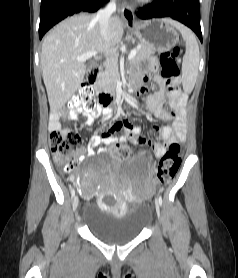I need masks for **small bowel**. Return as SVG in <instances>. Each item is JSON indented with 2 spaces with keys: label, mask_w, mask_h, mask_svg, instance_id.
Instances as JSON below:
<instances>
[{
  "label": "small bowel",
  "mask_w": 238,
  "mask_h": 278,
  "mask_svg": "<svg viewBox=\"0 0 238 278\" xmlns=\"http://www.w3.org/2000/svg\"><path fill=\"white\" fill-rule=\"evenodd\" d=\"M152 70H156L157 62L155 59L151 60ZM147 82L149 75H137L132 79L133 84H137L139 81ZM157 83L160 85V89L150 95L146 101V107L149 112L155 115L157 118L164 121H172L173 125L159 128L156 125L152 126V131L158 134L157 138H145L142 136V128L131 124L128 120L123 119L113 123L106 131L100 135L92 136L85 149L80 152V158L86 156H92L96 153H104V149L101 148L97 151L100 145H110L120 142H131L135 145H149L152 147L156 156H161L165 153V149L161 148L162 144L169 142H182L186 134V119H185V104L186 97L180 91L177 82H164L160 77H156ZM167 86V92L164 91L163 86ZM143 91L145 88L142 89ZM168 100L170 110L163 107L164 102ZM80 110H71L68 114L70 120H76ZM83 115L86 117L85 126H93L98 118L101 122L109 120L112 116V111L108 106L99 104L94 112L84 111ZM61 114L53 113L49 121V129L63 130L60 124ZM123 130L124 135L116 137V133ZM150 143H156L155 145ZM70 181H74V177H70ZM148 182L152 183L151 177H148Z\"/></svg>",
  "instance_id": "c3829d8e"
}]
</instances>
